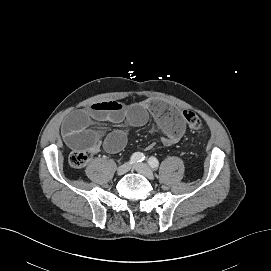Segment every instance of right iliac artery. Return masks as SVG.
Segmentation results:
<instances>
[{"instance_id":"82829eb1","label":"right iliac artery","mask_w":271,"mask_h":271,"mask_svg":"<svg viewBox=\"0 0 271 271\" xmlns=\"http://www.w3.org/2000/svg\"><path fill=\"white\" fill-rule=\"evenodd\" d=\"M144 160H145V155L140 152H136V153L132 154V156L130 157L131 164H136V163L142 162Z\"/></svg>"}]
</instances>
